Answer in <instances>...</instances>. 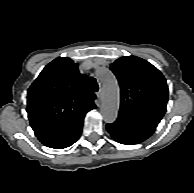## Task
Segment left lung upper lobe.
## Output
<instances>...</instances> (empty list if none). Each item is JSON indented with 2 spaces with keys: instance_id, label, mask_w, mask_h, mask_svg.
I'll use <instances>...</instances> for the list:
<instances>
[{
  "instance_id": "left-lung-upper-lobe-1",
  "label": "left lung upper lobe",
  "mask_w": 194,
  "mask_h": 193,
  "mask_svg": "<svg viewBox=\"0 0 194 193\" xmlns=\"http://www.w3.org/2000/svg\"><path fill=\"white\" fill-rule=\"evenodd\" d=\"M110 69L121 88L119 114L157 127L168 102V86L162 73L136 56L121 57Z\"/></svg>"
}]
</instances>
